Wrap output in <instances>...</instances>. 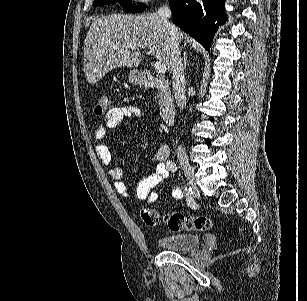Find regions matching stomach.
<instances>
[{
    "mask_svg": "<svg viewBox=\"0 0 307 301\" xmlns=\"http://www.w3.org/2000/svg\"><path fill=\"white\" fill-rule=\"evenodd\" d=\"M128 78L132 84H143L144 82L143 74L140 70H130Z\"/></svg>",
    "mask_w": 307,
    "mask_h": 301,
    "instance_id": "1",
    "label": "stomach"
}]
</instances>
